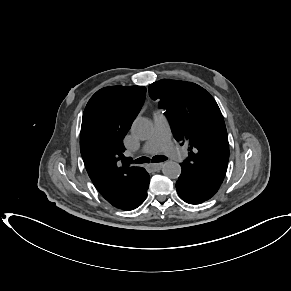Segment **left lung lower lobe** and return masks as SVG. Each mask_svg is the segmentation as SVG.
<instances>
[{
	"label": "left lung lower lobe",
	"mask_w": 291,
	"mask_h": 291,
	"mask_svg": "<svg viewBox=\"0 0 291 291\" xmlns=\"http://www.w3.org/2000/svg\"><path fill=\"white\" fill-rule=\"evenodd\" d=\"M220 185L204 179L194 172L182 169L176 182V189L180 198L189 204H201L213 197Z\"/></svg>",
	"instance_id": "obj_1"
}]
</instances>
